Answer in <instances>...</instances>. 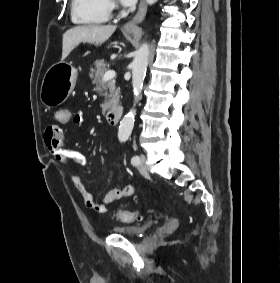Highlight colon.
<instances>
[{"instance_id":"5ec220e1","label":"colon","mask_w":280,"mask_h":283,"mask_svg":"<svg viewBox=\"0 0 280 283\" xmlns=\"http://www.w3.org/2000/svg\"><path fill=\"white\" fill-rule=\"evenodd\" d=\"M69 110V107L56 108L55 119L58 125L70 124V119L73 118V115L70 114ZM116 216L120 221L126 223L140 219V213L138 211H119Z\"/></svg>"}]
</instances>
